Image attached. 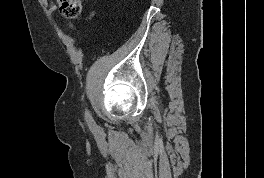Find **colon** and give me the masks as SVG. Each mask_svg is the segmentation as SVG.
<instances>
[{"label":"colon","instance_id":"1","mask_svg":"<svg viewBox=\"0 0 264 178\" xmlns=\"http://www.w3.org/2000/svg\"><path fill=\"white\" fill-rule=\"evenodd\" d=\"M59 11L65 18H76L81 13L80 0H56Z\"/></svg>","mask_w":264,"mask_h":178}]
</instances>
